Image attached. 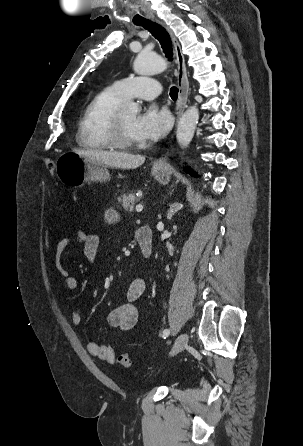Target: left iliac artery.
I'll list each match as a JSON object with an SVG mask.
<instances>
[{"label":"left iliac artery","mask_w":303,"mask_h":446,"mask_svg":"<svg viewBox=\"0 0 303 446\" xmlns=\"http://www.w3.org/2000/svg\"><path fill=\"white\" fill-rule=\"evenodd\" d=\"M169 334H170V330H169V329H165V330L163 331V333H162V337H163V338H166V337L169 336Z\"/></svg>","instance_id":"1"}]
</instances>
